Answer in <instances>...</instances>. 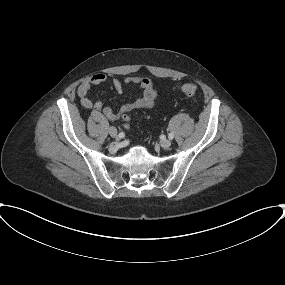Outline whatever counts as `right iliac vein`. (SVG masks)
Segmentation results:
<instances>
[{"label":"right iliac vein","instance_id":"63e3f726","mask_svg":"<svg viewBox=\"0 0 285 285\" xmlns=\"http://www.w3.org/2000/svg\"><path fill=\"white\" fill-rule=\"evenodd\" d=\"M108 132L111 137L115 138L117 137V129L113 126L109 127Z\"/></svg>","mask_w":285,"mask_h":285}]
</instances>
